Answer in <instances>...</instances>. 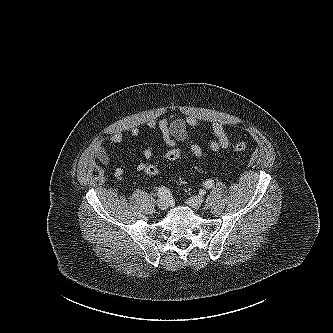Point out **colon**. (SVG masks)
<instances>
[{
    "mask_svg": "<svg viewBox=\"0 0 333 333\" xmlns=\"http://www.w3.org/2000/svg\"><path fill=\"white\" fill-rule=\"evenodd\" d=\"M247 149H248V145L245 142L236 143L232 147V150L234 152H244ZM180 156H181L180 150L177 148H173V149L167 150V152L164 155V160L171 162V161H175V160L179 159ZM159 172H160V168L156 164H146L145 169H144L145 175L150 176V177L158 175Z\"/></svg>",
    "mask_w": 333,
    "mask_h": 333,
    "instance_id": "obj_1",
    "label": "colon"
}]
</instances>
